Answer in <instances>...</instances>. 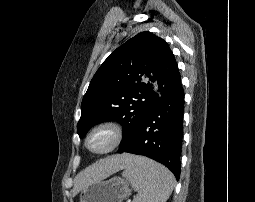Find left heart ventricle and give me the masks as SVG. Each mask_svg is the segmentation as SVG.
I'll use <instances>...</instances> for the list:
<instances>
[{
    "instance_id": "1",
    "label": "left heart ventricle",
    "mask_w": 255,
    "mask_h": 202,
    "mask_svg": "<svg viewBox=\"0 0 255 202\" xmlns=\"http://www.w3.org/2000/svg\"><path fill=\"white\" fill-rule=\"evenodd\" d=\"M111 143V135L106 131L94 134L90 139V147L94 150H103Z\"/></svg>"
}]
</instances>
